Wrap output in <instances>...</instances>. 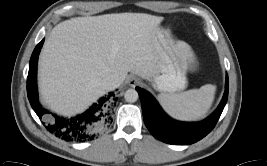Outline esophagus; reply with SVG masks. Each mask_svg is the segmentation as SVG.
<instances>
[{
    "label": "esophagus",
    "mask_w": 267,
    "mask_h": 166,
    "mask_svg": "<svg viewBox=\"0 0 267 166\" xmlns=\"http://www.w3.org/2000/svg\"><path fill=\"white\" fill-rule=\"evenodd\" d=\"M141 81L139 78L135 77V76H131L129 77L128 79V84L131 86V87H135L137 85H140Z\"/></svg>",
    "instance_id": "1"
}]
</instances>
